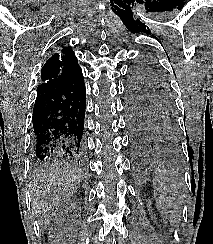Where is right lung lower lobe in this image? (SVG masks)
<instances>
[{"label": "right lung lower lobe", "instance_id": "obj_1", "mask_svg": "<svg viewBox=\"0 0 213 244\" xmlns=\"http://www.w3.org/2000/svg\"><path fill=\"white\" fill-rule=\"evenodd\" d=\"M86 91L81 68L54 84H41L33 109L34 154L41 160H81Z\"/></svg>", "mask_w": 213, "mask_h": 244}]
</instances>
